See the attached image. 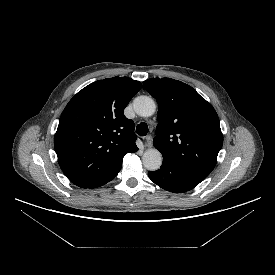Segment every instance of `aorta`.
<instances>
[{
  "label": "aorta",
  "mask_w": 275,
  "mask_h": 275,
  "mask_svg": "<svg viewBox=\"0 0 275 275\" xmlns=\"http://www.w3.org/2000/svg\"><path fill=\"white\" fill-rule=\"evenodd\" d=\"M135 112L142 117H149L155 113L156 104L148 96H139L133 102ZM162 154L159 150L152 148L145 151L142 156V162L146 169L150 171L158 170L162 165Z\"/></svg>",
  "instance_id": "obj_1"
}]
</instances>
